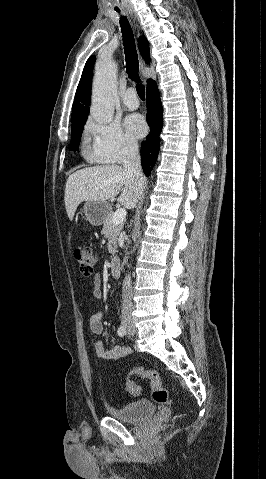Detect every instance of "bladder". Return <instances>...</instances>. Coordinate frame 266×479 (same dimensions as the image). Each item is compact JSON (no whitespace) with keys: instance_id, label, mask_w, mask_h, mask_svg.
<instances>
[{"instance_id":"31cf9c89","label":"bladder","mask_w":266,"mask_h":479,"mask_svg":"<svg viewBox=\"0 0 266 479\" xmlns=\"http://www.w3.org/2000/svg\"><path fill=\"white\" fill-rule=\"evenodd\" d=\"M107 412L110 416L122 422L137 423L154 416L156 407L152 401L138 400L128 402L120 407L110 406L107 408Z\"/></svg>"}]
</instances>
